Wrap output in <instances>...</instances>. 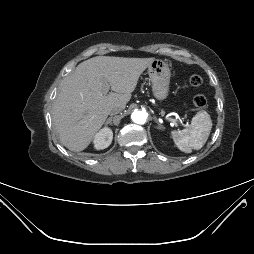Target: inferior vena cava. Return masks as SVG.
Here are the masks:
<instances>
[{"mask_svg":"<svg viewBox=\"0 0 254 254\" xmlns=\"http://www.w3.org/2000/svg\"><path fill=\"white\" fill-rule=\"evenodd\" d=\"M123 109L119 106L112 107L109 111L110 115L119 114Z\"/></svg>","mask_w":254,"mask_h":254,"instance_id":"obj_1","label":"inferior vena cava"}]
</instances>
